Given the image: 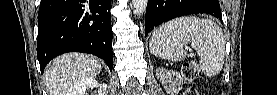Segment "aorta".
Masks as SVG:
<instances>
[{"label": "aorta", "mask_w": 277, "mask_h": 95, "mask_svg": "<svg viewBox=\"0 0 277 95\" xmlns=\"http://www.w3.org/2000/svg\"><path fill=\"white\" fill-rule=\"evenodd\" d=\"M148 0H132L135 16H141L147 7Z\"/></svg>", "instance_id": "1"}]
</instances>
